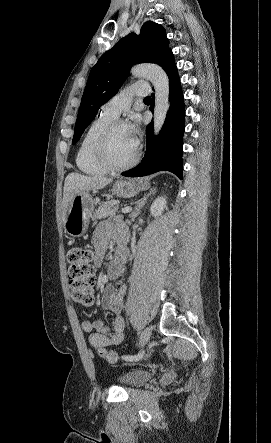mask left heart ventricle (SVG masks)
I'll list each match as a JSON object with an SVG mask.
<instances>
[{"label":"left heart ventricle","mask_w":271,"mask_h":443,"mask_svg":"<svg viewBox=\"0 0 271 443\" xmlns=\"http://www.w3.org/2000/svg\"><path fill=\"white\" fill-rule=\"evenodd\" d=\"M137 146L138 141L131 126H120L114 131L111 138V158L117 164L125 163L134 156Z\"/></svg>","instance_id":"obj_1"}]
</instances>
